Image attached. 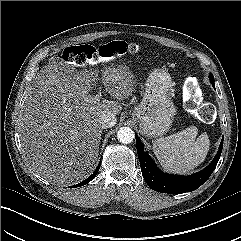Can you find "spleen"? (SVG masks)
Segmentation results:
<instances>
[{
  "mask_svg": "<svg viewBox=\"0 0 241 241\" xmlns=\"http://www.w3.org/2000/svg\"><path fill=\"white\" fill-rule=\"evenodd\" d=\"M197 133V128L191 126L154 141V154L166 171L186 174L205 160L210 140L206 133L198 137Z\"/></svg>",
  "mask_w": 241,
  "mask_h": 241,
  "instance_id": "3e777b00",
  "label": "spleen"
}]
</instances>
